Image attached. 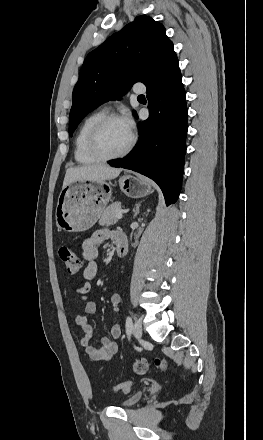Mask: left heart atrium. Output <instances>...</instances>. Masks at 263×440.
Listing matches in <instances>:
<instances>
[{
  "mask_svg": "<svg viewBox=\"0 0 263 440\" xmlns=\"http://www.w3.org/2000/svg\"><path fill=\"white\" fill-rule=\"evenodd\" d=\"M125 123H126L128 128H131V122H130L129 119H125Z\"/></svg>",
  "mask_w": 263,
  "mask_h": 440,
  "instance_id": "39dd6f15",
  "label": "left heart atrium"
}]
</instances>
